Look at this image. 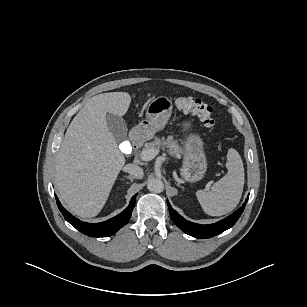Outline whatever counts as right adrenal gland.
<instances>
[{
  "instance_id": "right-adrenal-gland-1",
  "label": "right adrenal gland",
  "mask_w": 307,
  "mask_h": 307,
  "mask_svg": "<svg viewBox=\"0 0 307 307\" xmlns=\"http://www.w3.org/2000/svg\"><path fill=\"white\" fill-rule=\"evenodd\" d=\"M126 178H128V179H130V181L132 182L133 181V179L135 178L134 176H132V175H128V176H125Z\"/></svg>"
}]
</instances>
